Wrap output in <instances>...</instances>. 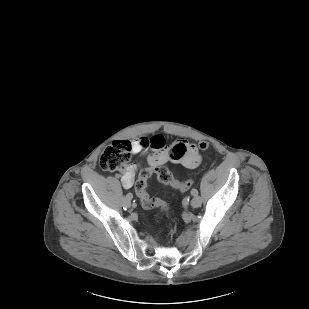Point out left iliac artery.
Listing matches in <instances>:
<instances>
[{"mask_svg": "<svg viewBox=\"0 0 309 309\" xmlns=\"http://www.w3.org/2000/svg\"><path fill=\"white\" fill-rule=\"evenodd\" d=\"M191 194H192L193 196H196V195H198V191H197L196 189H192V190H191Z\"/></svg>", "mask_w": 309, "mask_h": 309, "instance_id": "44dca946", "label": "left iliac artery"}]
</instances>
